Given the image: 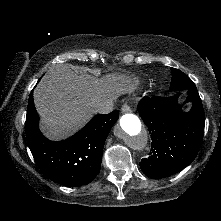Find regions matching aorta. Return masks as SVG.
<instances>
[{
  "label": "aorta",
  "instance_id": "1",
  "mask_svg": "<svg viewBox=\"0 0 221 221\" xmlns=\"http://www.w3.org/2000/svg\"><path fill=\"white\" fill-rule=\"evenodd\" d=\"M114 134L134 150H142L148 143L146 131L139 118L132 113L121 116L119 124L114 128Z\"/></svg>",
  "mask_w": 221,
  "mask_h": 221
}]
</instances>
